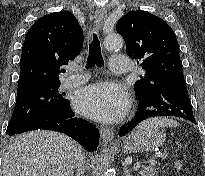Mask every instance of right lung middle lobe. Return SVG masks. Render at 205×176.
<instances>
[{
    "instance_id": "dd1d6c3e",
    "label": "right lung middle lobe",
    "mask_w": 205,
    "mask_h": 176,
    "mask_svg": "<svg viewBox=\"0 0 205 176\" xmlns=\"http://www.w3.org/2000/svg\"><path fill=\"white\" fill-rule=\"evenodd\" d=\"M58 88L59 85H56L17 96L7 134L14 135L51 108L63 106L67 100L58 93Z\"/></svg>"
}]
</instances>
